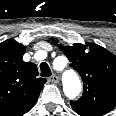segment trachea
Instances as JSON below:
<instances>
[{"instance_id": "trachea-1", "label": "trachea", "mask_w": 116, "mask_h": 116, "mask_svg": "<svg viewBox=\"0 0 116 116\" xmlns=\"http://www.w3.org/2000/svg\"><path fill=\"white\" fill-rule=\"evenodd\" d=\"M41 76L49 77L52 75L49 65L46 62L40 64Z\"/></svg>"}]
</instances>
